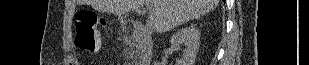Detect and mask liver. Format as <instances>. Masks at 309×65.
Here are the masks:
<instances>
[{"instance_id": "1", "label": "liver", "mask_w": 309, "mask_h": 65, "mask_svg": "<svg viewBox=\"0 0 309 65\" xmlns=\"http://www.w3.org/2000/svg\"><path fill=\"white\" fill-rule=\"evenodd\" d=\"M144 2L150 10L148 26L163 33L209 13L219 0H90L89 4L99 11L120 16L128 11L143 14Z\"/></svg>"}]
</instances>
